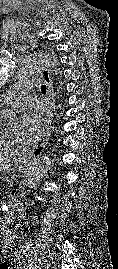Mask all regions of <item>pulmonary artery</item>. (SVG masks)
<instances>
[{"mask_svg":"<svg viewBox=\"0 0 118 269\" xmlns=\"http://www.w3.org/2000/svg\"><path fill=\"white\" fill-rule=\"evenodd\" d=\"M35 83V80L29 79L20 81L16 84L13 89L8 93L5 102L18 106L22 103H25L30 99L29 88Z\"/></svg>","mask_w":118,"mask_h":269,"instance_id":"e3ab8cb5","label":"pulmonary artery"}]
</instances>
